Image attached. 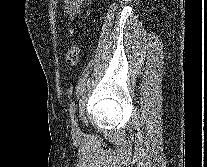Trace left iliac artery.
Instances as JSON below:
<instances>
[{
	"label": "left iliac artery",
	"mask_w": 207,
	"mask_h": 167,
	"mask_svg": "<svg viewBox=\"0 0 207 167\" xmlns=\"http://www.w3.org/2000/svg\"><path fill=\"white\" fill-rule=\"evenodd\" d=\"M75 110H76L75 102H72L71 105H70V108H69V114H70V117H71L72 120H73L74 115H75Z\"/></svg>",
	"instance_id": "left-iliac-artery-1"
}]
</instances>
